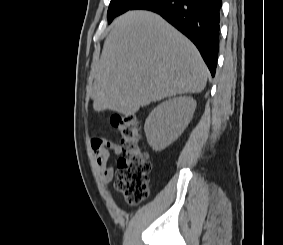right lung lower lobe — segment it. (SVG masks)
<instances>
[{"mask_svg": "<svg viewBox=\"0 0 283 245\" xmlns=\"http://www.w3.org/2000/svg\"><path fill=\"white\" fill-rule=\"evenodd\" d=\"M221 6L222 0H141L132 9L156 12L185 34L196 45L214 76Z\"/></svg>", "mask_w": 283, "mask_h": 245, "instance_id": "right-lung-lower-lobe-1", "label": "right lung lower lobe"}]
</instances>
